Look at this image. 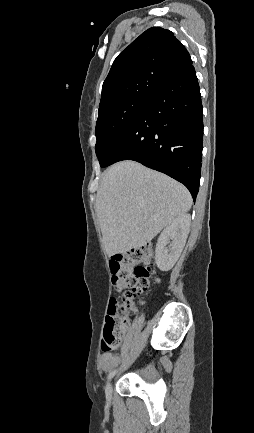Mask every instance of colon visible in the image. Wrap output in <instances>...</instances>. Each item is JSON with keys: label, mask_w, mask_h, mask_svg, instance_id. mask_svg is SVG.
<instances>
[{"label": "colon", "mask_w": 254, "mask_h": 433, "mask_svg": "<svg viewBox=\"0 0 254 433\" xmlns=\"http://www.w3.org/2000/svg\"><path fill=\"white\" fill-rule=\"evenodd\" d=\"M154 250L141 247L117 254L111 261L113 287L123 291L121 298L112 297L106 317L102 349H117L128 327V312L135 309L136 300L158 282L152 274Z\"/></svg>", "instance_id": "colon-1"}]
</instances>
